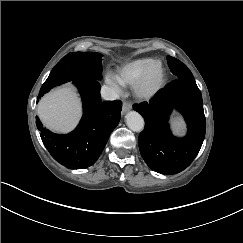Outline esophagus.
I'll list each match as a JSON object with an SVG mask.
<instances>
[{"label":"esophagus","instance_id":"1","mask_svg":"<svg viewBox=\"0 0 243 243\" xmlns=\"http://www.w3.org/2000/svg\"><path fill=\"white\" fill-rule=\"evenodd\" d=\"M132 108V105L128 102H123L122 114H125Z\"/></svg>","mask_w":243,"mask_h":243}]
</instances>
